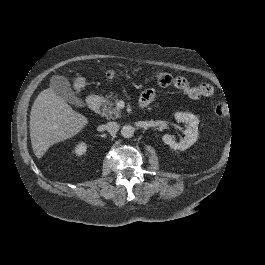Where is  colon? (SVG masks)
Here are the masks:
<instances>
[{
	"label": "colon",
	"instance_id": "5ec220e1",
	"mask_svg": "<svg viewBox=\"0 0 265 265\" xmlns=\"http://www.w3.org/2000/svg\"><path fill=\"white\" fill-rule=\"evenodd\" d=\"M115 72H111L110 74L113 75ZM156 81L159 85L161 86H167L171 83L172 81V77L169 73L167 72H158L156 74ZM84 86V79L81 76H76L74 78V82H73V87L75 92H79ZM215 113L216 115L220 116V117H224L229 113V105L226 103H218L215 106Z\"/></svg>",
	"mask_w": 265,
	"mask_h": 265
}]
</instances>
